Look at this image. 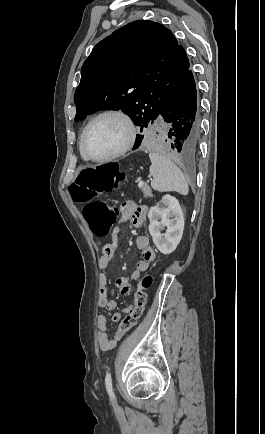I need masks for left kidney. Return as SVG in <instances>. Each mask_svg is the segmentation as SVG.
Wrapping results in <instances>:
<instances>
[{
	"instance_id": "left-kidney-1",
	"label": "left kidney",
	"mask_w": 265,
	"mask_h": 434,
	"mask_svg": "<svg viewBox=\"0 0 265 434\" xmlns=\"http://www.w3.org/2000/svg\"><path fill=\"white\" fill-rule=\"evenodd\" d=\"M161 204H163V208H160ZM148 218L150 220L148 230L156 248L161 254H172L176 250L184 230L183 212L178 200L166 194L160 204L150 208ZM159 218L161 222H158ZM164 228H167L166 234H161L160 230H164Z\"/></svg>"
}]
</instances>
